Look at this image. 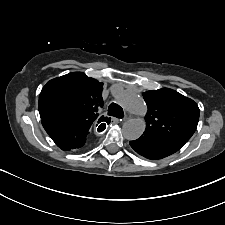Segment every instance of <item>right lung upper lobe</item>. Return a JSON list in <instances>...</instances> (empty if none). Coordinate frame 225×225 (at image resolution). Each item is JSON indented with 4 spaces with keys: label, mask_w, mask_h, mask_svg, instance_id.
I'll list each match as a JSON object with an SVG mask.
<instances>
[{
    "label": "right lung upper lobe",
    "mask_w": 225,
    "mask_h": 225,
    "mask_svg": "<svg viewBox=\"0 0 225 225\" xmlns=\"http://www.w3.org/2000/svg\"><path fill=\"white\" fill-rule=\"evenodd\" d=\"M102 90L103 83L81 72L52 79L39 95L40 116L79 121L91 127L100 123L97 112L103 107Z\"/></svg>",
    "instance_id": "obj_1"
}]
</instances>
